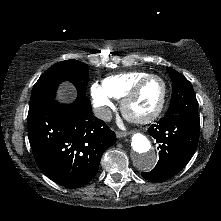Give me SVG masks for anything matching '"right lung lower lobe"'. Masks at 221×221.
I'll list each match as a JSON object with an SVG mask.
<instances>
[{"label":"right lung lower lobe","mask_w":221,"mask_h":221,"mask_svg":"<svg viewBox=\"0 0 221 221\" xmlns=\"http://www.w3.org/2000/svg\"><path fill=\"white\" fill-rule=\"evenodd\" d=\"M28 137L40 170L67 188L91 181L103 152L116 142L115 133L93 116L89 99L80 92L72 104L45 103L28 118Z\"/></svg>","instance_id":"1"}]
</instances>
